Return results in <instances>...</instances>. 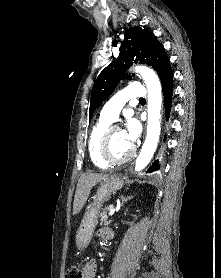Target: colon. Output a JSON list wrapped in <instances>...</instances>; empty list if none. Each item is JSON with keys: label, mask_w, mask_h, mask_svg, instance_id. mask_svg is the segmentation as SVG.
I'll list each match as a JSON object with an SVG mask.
<instances>
[{"label": "colon", "mask_w": 221, "mask_h": 278, "mask_svg": "<svg viewBox=\"0 0 221 278\" xmlns=\"http://www.w3.org/2000/svg\"><path fill=\"white\" fill-rule=\"evenodd\" d=\"M85 273L82 268L77 266L69 267L66 271V278H85Z\"/></svg>", "instance_id": "colon-1"}]
</instances>
